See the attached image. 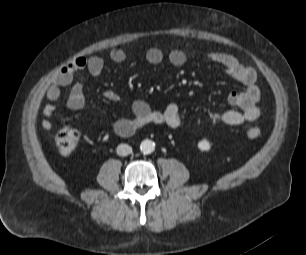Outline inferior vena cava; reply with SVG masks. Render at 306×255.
<instances>
[{"mask_svg": "<svg viewBox=\"0 0 306 255\" xmlns=\"http://www.w3.org/2000/svg\"><path fill=\"white\" fill-rule=\"evenodd\" d=\"M132 153V147L128 144H120L117 147V154L119 156H127Z\"/></svg>", "mask_w": 306, "mask_h": 255, "instance_id": "602c4592", "label": "inferior vena cava"}]
</instances>
